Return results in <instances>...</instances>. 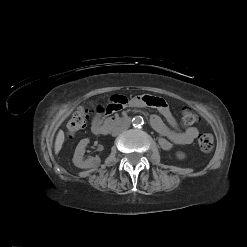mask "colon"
Instances as JSON below:
<instances>
[{"label":"colon","mask_w":247,"mask_h":247,"mask_svg":"<svg viewBox=\"0 0 247 247\" xmlns=\"http://www.w3.org/2000/svg\"><path fill=\"white\" fill-rule=\"evenodd\" d=\"M92 112L91 108H78L67 124V134L74 137L80 130L84 129L86 122ZM197 114L190 108L185 107L181 111V122L186 127H191L198 122ZM198 145L203 152H209L214 145L213 136L209 133H203L198 138Z\"/></svg>","instance_id":"5ec220e1"}]
</instances>
